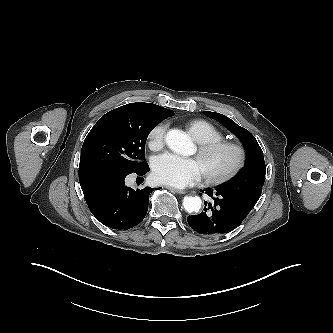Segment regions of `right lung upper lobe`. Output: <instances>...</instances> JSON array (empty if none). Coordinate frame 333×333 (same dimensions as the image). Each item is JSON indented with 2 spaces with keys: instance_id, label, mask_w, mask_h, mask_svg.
<instances>
[{
  "instance_id": "obj_1",
  "label": "right lung upper lobe",
  "mask_w": 333,
  "mask_h": 333,
  "mask_svg": "<svg viewBox=\"0 0 333 333\" xmlns=\"http://www.w3.org/2000/svg\"><path fill=\"white\" fill-rule=\"evenodd\" d=\"M121 107H123V108H142V109H147V110H151V111H155V112L161 113V114L166 115L168 117L174 115V113H173L172 110L165 109L163 107H160L158 105L151 104V103L137 102V103L126 104V105L121 106Z\"/></svg>"
}]
</instances>
